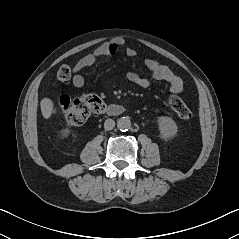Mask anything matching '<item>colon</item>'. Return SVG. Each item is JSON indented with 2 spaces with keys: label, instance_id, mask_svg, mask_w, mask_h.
Returning a JSON list of instances; mask_svg holds the SVG:
<instances>
[{
  "label": "colon",
  "instance_id": "5ec220e1",
  "mask_svg": "<svg viewBox=\"0 0 239 239\" xmlns=\"http://www.w3.org/2000/svg\"><path fill=\"white\" fill-rule=\"evenodd\" d=\"M72 75V69L63 65L58 69L59 80H68ZM169 105L182 120H189L192 116L185 103L177 96L169 97ZM60 109L63 111L66 122L71 126L83 125L92 114L103 111V101L95 94H85L79 97L61 95L58 100Z\"/></svg>",
  "mask_w": 239,
  "mask_h": 239
}]
</instances>
